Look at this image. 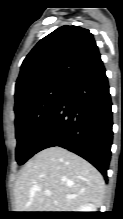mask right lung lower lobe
<instances>
[{
  "label": "right lung lower lobe",
  "mask_w": 123,
  "mask_h": 219,
  "mask_svg": "<svg viewBox=\"0 0 123 219\" xmlns=\"http://www.w3.org/2000/svg\"><path fill=\"white\" fill-rule=\"evenodd\" d=\"M105 71L99 58L66 83L36 151L53 146L68 149L89 161L107 180L113 122Z\"/></svg>",
  "instance_id": "1"
}]
</instances>
